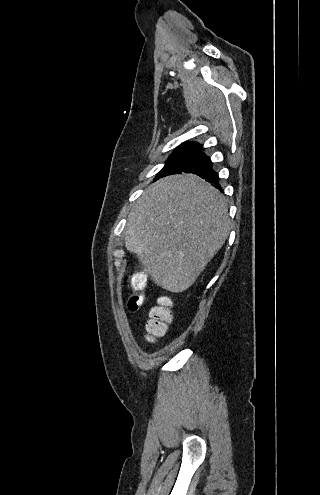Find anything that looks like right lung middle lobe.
I'll list each match as a JSON object with an SVG mask.
<instances>
[{"mask_svg": "<svg viewBox=\"0 0 320 495\" xmlns=\"http://www.w3.org/2000/svg\"><path fill=\"white\" fill-rule=\"evenodd\" d=\"M201 147L202 145L193 142L181 144L169 156L165 166L161 169L156 178L174 174L179 171Z\"/></svg>", "mask_w": 320, "mask_h": 495, "instance_id": "obj_1", "label": "right lung middle lobe"}]
</instances>
